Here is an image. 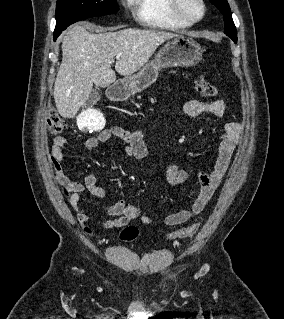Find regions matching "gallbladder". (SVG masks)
Here are the masks:
<instances>
[{"label": "gallbladder", "mask_w": 284, "mask_h": 319, "mask_svg": "<svg viewBox=\"0 0 284 319\" xmlns=\"http://www.w3.org/2000/svg\"><path fill=\"white\" fill-rule=\"evenodd\" d=\"M100 100V94L98 89H95L91 92L90 96L88 97L87 101L85 102L86 107H91L96 104Z\"/></svg>", "instance_id": "bac80fb5"}]
</instances>
